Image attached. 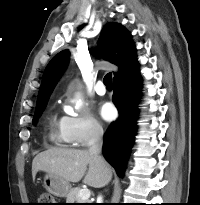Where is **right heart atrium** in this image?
Masks as SVG:
<instances>
[{
    "mask_svg": "<svg viewBox=\"0 0 200 205\" xmlns=\"http://www.w3.org/2000/svg\"><path fill=\"white\" fill-rule=\"evenodd\" d=\"M61 132L64 140L75 146H85L99 139L104 129L92 114L74 112L61 118Z\"/></svg>",
    "mask_w": 200,
    "mask_h": 205,
    "instance_id": "d8ad5b80",
    "label": "right heart atrium"
}]
</instances>
